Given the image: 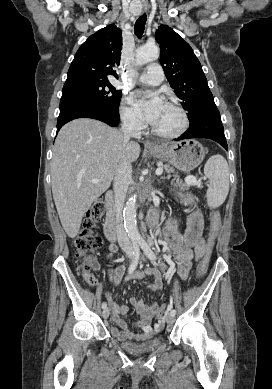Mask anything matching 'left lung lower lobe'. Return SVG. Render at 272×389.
I'll use <instances>...</instances> for the list:
<instances>
[{
    "mask_svg": "<svg viewBox=\"0 0 272 389\" xmlns=\"http://www.w3.org/2000/svg\"><path fill=\"white\" fill-rule=\"evenodd\" d=\"M188 119L190 127L176 140L207 138L218 142L228 150L220 113L215 103L205 106L198 114Z\"/></svg>",
    "mask_w": 272,
    "mask_h": 389,
    "instance_id": "0a47b994",
    "label": "left lung lower lobe"
}]
</instances>
